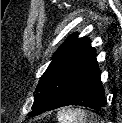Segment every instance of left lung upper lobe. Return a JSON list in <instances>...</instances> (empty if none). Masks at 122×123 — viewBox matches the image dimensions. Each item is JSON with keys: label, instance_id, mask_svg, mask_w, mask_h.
<instances>
[{"label": "left lung upper lobe", "instance_id": "1", "mask_svg": "<svg viewBox=\"0 0 122 123\" xmlns=\"http://www.w3.org/2000/svg\"><path fill=\"white\" fill-rule=\"evenodd\" d=\"M96 56L90 40L70 36L53 55L52 62L42 75L29 116L47 111L64 93L71 80Z\"/></svg>", "mask_w": 122, "mask_h": 123}]
</instances>
